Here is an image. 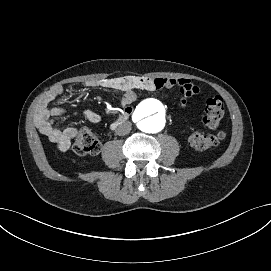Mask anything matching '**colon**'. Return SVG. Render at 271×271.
Masks as SVG:
<instances>
[{
	"label": "colon",
	"instance_id": "5ec220e1",
	"mask_svg": "<svg viewBox=\"0 0 271 271\" xmlns=\"http://www.w3.org/2000/svg\"><path fill=\"white\" fill-rule=\"evenodd\" d=\"M225 107L220 96H212L206 100L205 126L214 131L224 117ZM225 137L223 131L212 133L193 132L188 136V143L197 150H206L217 146ZM73 150L78 155H95L100 151V142L94 130L83 127L78 131L73 143Z\"/></svg>",
	"mask_w": 271,
	"mask_h": 271
}]
</instances>
